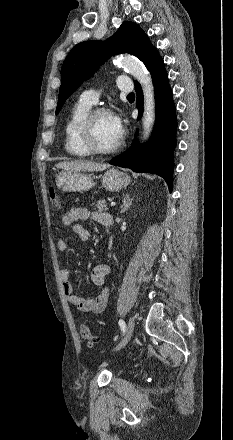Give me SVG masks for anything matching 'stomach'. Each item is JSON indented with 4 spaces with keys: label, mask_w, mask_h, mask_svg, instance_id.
I'll list each match as a JSON object with an SVG mask.
<instances>
[{
    "label": "stomach",
    "mask_w": 233,
    "mask_h": 440,
    "mask_svg": "<svg viewBox=\"0 0 233 440\" xmlns=\"http://www.w3.org/2000/svg\"><path fill=\"white\" fill-rule=\"evenodd\" d=\"M56 186L64 192L87 191L95 186L90 174L80 171L60 172L56 175ZM130 183V177L117 169H109L102 177V186L108 191H119Z\"/></svg>",
    "instance_id": "0dacf381"
}]
</instances>
